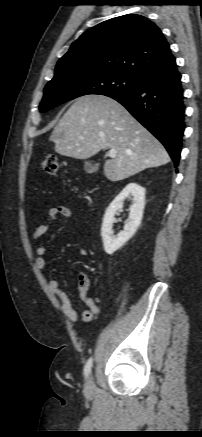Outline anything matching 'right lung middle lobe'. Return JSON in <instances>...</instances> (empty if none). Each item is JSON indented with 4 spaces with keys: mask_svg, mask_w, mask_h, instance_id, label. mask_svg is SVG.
<instances>
[{
    "mask_svg": "<svg viewBox=\"0 0 202 437\" xmlns=\"http://www.w3.org/2000/svg\"><path fill=\"white\" fill-rule=\"evenodd\" d=\"M140 79L121 73H68L52 79L44 89L40 112L88 94L111 96L134 89Z\"/></svg>",
    "mask_w": 202,
    "mask_h": 437,
    "instance_id": "right-lung-middle-lobe-1",
    "label": "right lung middle lobe"
}]
</instances>
